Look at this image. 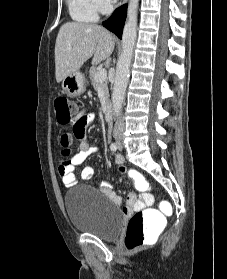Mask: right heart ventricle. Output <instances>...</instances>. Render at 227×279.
<instances>
[{
  "mask_svg": "<svg viewBox=\"0 0 227 279\" xmlns=\"http://www.w3.org/2000/svg\"><path fill=\"white\" fill-rule=\"evenodd\" d=\"M71 18L78 22H94L97 13L93 10L89 0H67Z\"/></svg>",
  "mask_w": 227,
  "mask_h": 279,
  "instance_id": "e07e8e85",
  "label": "right heart ventricle"
}]
</instances>
